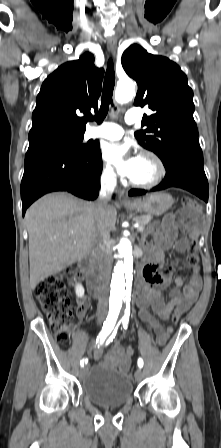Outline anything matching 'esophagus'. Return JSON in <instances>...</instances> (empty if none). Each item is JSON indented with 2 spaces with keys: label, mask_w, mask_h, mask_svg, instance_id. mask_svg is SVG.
Masks as SVG:
<instances>
[{
  "label": "esophagus",
  "mask_w": 221,
  "mask_h": 448,
  "mask_svg": "<svg viewBox=\"0 0 221 448\" xmlns=\"http://www.w3.org/2000/svg\"><path fill=\"white\" fill-rule=\"evenodd\" d=\"M107 46H108V51L111 54H114L117 48V38L114 36H110L107 40ZM124 191H122L123 193ZM120 200L124 203L129 202V200L127 199V197L121 195Z\"/></svg>",
  "instance_id": "obj_1"
}]
</instances>
